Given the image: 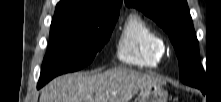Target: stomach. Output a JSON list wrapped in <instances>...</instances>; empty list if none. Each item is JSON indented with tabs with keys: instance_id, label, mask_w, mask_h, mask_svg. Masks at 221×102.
Segmentation results:
<instances>
[{
	"instance_id": "1",
	"label": "stomach",
	"mask_w": 221,
	"mask_h": 102,
	"mask_svg": "<svg viewBox=\"0 0 221 102\" xmlns=\"http://www.w3.org/2000/svg\"><path fill=\"white\" fill-rule=\"evenodd\" d=\"M168 92L161 86H152L142 90L138 102H168Z\"/></svg>"
}]
</instances>
